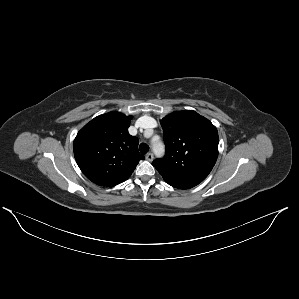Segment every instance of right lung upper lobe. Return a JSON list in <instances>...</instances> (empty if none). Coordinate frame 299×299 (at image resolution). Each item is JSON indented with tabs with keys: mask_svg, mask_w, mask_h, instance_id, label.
Returning a JSON list of instances; mask_svg holds the SVG:
<instances>
[{
	"mask_svg": "<svg viewBox=\"0 0 299 299\" xmlns=\"http://www.w3.org/2000/svg\"><path fill=\"white\" fill-rule=\"evenodd\" d=\"M131 116L119 112L100 115L77 134L74 156L85 176L100 186L126 181L145 157L138 151L139 140L128 133Z\"/></svg>",
	"mask_w": 299,
	"mask_h": 299,
	"instance_id": "right-lung-upper-lobe-1",
	"label": "right lung upper lobe"
}]
</instances>
